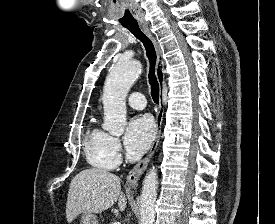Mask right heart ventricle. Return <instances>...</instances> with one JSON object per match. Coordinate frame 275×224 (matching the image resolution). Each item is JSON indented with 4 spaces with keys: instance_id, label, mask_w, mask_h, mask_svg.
<instances>
[{
    "instance_id": "right-heart-ventricle-1",
    "label": "right heart ventricle",
    "mask_w": 275,
    "mask_h": 224,
    "mask_svg": "<svg viewBox=\"0 0 275 224\" xmlns=\"http://www.w3.org/2000/svg\"><path fill=\"white\" fill-rule=\"evenodd\" d=\"M84 153L89 165L97 169L112 170L119 163V157L111 145V136L95 123L85 133Z\"/></svg>"
}]
</instances>
